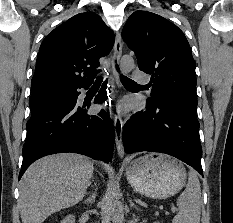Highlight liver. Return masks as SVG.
I'll use <instances>...</instances> for the list:
<instances>
[{"label":"liver","instance_id":"6515ba94","mask_svg":"<svg viewBox=\"0 0 233 223\" xmlns=\"http://www.w3.org/2000/svg\"><path fill=\"white\" fill-rule=\"evenodd\" d=\"M93 169L91 159L78 153H55L34 161L20 181L23 223H43L54 211L81 201Z\"/></svg>","mask_w":233,"mask_h":223}]
</instances>
